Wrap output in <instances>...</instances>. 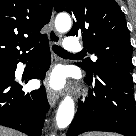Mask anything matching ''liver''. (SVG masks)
Here are the masks:
<instances>
[{
	"instance_id": "obj_1",
	"label": "liver",
	"mask_w": 136,
	"mask_h": 136,
	"mask_svg": "<svg viewBox=\"0 0 136 136\" xmlns=\"http://www.w3.org/2000/svg\"><path fill=\"white\" fill-rule=\"evenodd\" d=\"M0 136H22V135L11 129L0 126Z\"/></svg>"
}]
</instances>
